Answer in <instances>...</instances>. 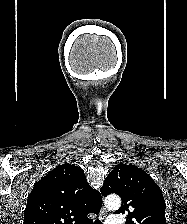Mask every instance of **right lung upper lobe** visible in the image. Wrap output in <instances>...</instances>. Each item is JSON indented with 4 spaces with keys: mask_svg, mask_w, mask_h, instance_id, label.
<instances>
[{
    "mask_svg": "<svg viewBox=\"0 0 187 224\" xmlns=\"http://www.w3.org/2000/svg\"><path fill=\"white\" fill-rule=\"evenodd\" d=\"M100 193L87 182L82 169L59 165L38 181L28 196L23 224H91L99 213Z\"/></svg>",
    "mask_w": 187,
    "mask_h": 224,
    "instance_id": "obj_1",
    "label": "right lung upper lobe"
}]
</instances>
